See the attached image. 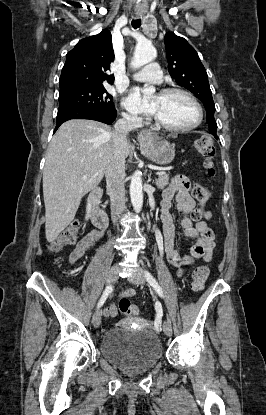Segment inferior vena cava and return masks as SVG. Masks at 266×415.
Returning <instances> with one entry per match:
<instances>
[{
    "instance_id": "inferior-vena-cava-1",
    "label": "inferior vena cava",
    "mask_w": 266,
    "mask_h": 415,
    "mask_svg": "<svg viewBox=\"0 0 266 415\" xmlns=\"http://www.w3.org/2000/svg\"><path fill=\"white\" fill-rule=\"evenodd\" d=\"M139 124L138 118L124 115L114 125L111 153L105 171L107 191L111 200V217L114 223L125 210L124 178L127 134L136 129Z\"/></svg>"
}]
</instances>
